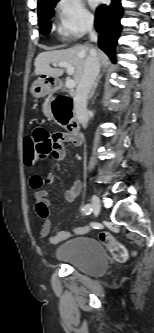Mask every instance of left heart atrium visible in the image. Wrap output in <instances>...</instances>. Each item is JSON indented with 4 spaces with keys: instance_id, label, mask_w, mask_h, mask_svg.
Instances as JSON below:
<instances>
[{
    "instance_id": "1",
    "label": "left heart atrium",
    "mask_w": 154,
    "mask_h": 333,
    "mask_svg": "<svg viewBox=\"0 0 154 333\" xmlns=\"http://www.w3.org/2000/svg\"><path fill=\"white\" fill-rule=\"evenodd\" d=\"M98 0H91V3L93 6H95L97 4Z\"/></svg>"
}]
</instances>
